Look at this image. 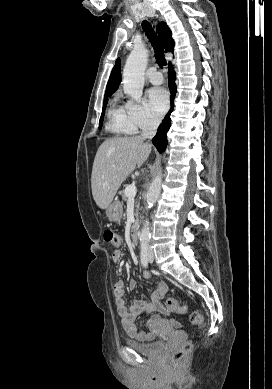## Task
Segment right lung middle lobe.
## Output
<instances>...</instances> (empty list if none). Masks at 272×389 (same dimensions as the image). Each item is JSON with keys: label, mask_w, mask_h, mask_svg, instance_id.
Returning a JSON list of instances; mask_svg holds the SVG:
<instances>
[{"label": "right lung middle lobe", "mask_w": 272, "mask_h": 389, "mask_svg": "<svg viewBox=\"0 0 272 389\" xmlns=\"http://www.w3.org/2000/svg\"><path fill=\"white\" fill-rule=\"evenodd\" d=\"M107 98H108V95L104 96L103 110H102L101 118L99 121V128H101L103 125V117H104V112H105V108L107 105Z\"/></svg>", "instance_id": "right-lung-middle-lobe-1"}]
</instances>
